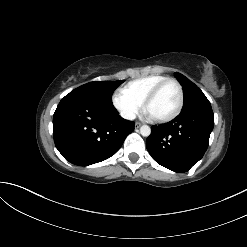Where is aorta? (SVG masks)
<instances>
[{
	"mask_svg": "<svg viewBox=\"0 0 247 247\" xmlns=\"http://www.w3.org/2000/svg\"><path fill=\"white\" fill-rule=\"evenodd\" d=\"M140 134L144 137H148L151 134V128L148 125L141 126Z\"/></svg>",
	"mask_w": 247,
	"mask_h": 247,
	"instance_id": "1",
	"label": "aorta"
}]
</instances>
